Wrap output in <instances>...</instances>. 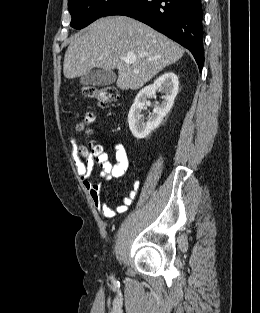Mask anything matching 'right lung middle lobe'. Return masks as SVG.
Instances as JSON below:
<instances>
[{"label":"right lung middle lobe","instance_id":"dd1d6c3e","mask_svg":"<svg viewBox=\"0 0 260 313\" xmlns=\"http://www.w3.org/2000/svg\"><path fill=\"white\" fill-rule=\"evenodd\" d=\"M120 0H69L68 7L72 16L70 25L81 29L103 17Z\"/></svg>","mask_w":260,"mask_h":313}]
</instances>
